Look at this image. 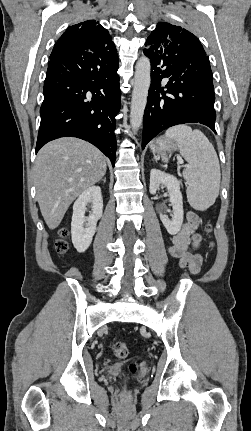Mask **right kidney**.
Returning <instances> with one entry per match:
<instances>
[{
    "label": "right kidney",
    "instance_id": "right-kidney-1",
    "mask_svg": "<svg viewBox=\"0 0 251 431\" xmlns=\"http://www.w3.org/2000/svg\"><path fill=\"white\" fill-rule=\"evenodd\" d=\"M92 204V213L86 217V205ZM103 199L101 188L91 186L84 190L73 205L71 222L72 243L79 253L85 252L90 246L96 231L97 221L102 217ZM86 225V228H84Z\"/></svg>",
    "mask_w": 251,
    "mask_h": 431
}]
</instances>
